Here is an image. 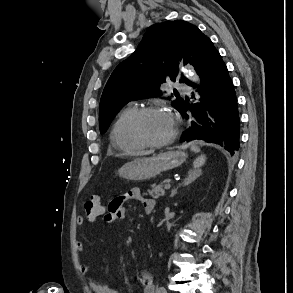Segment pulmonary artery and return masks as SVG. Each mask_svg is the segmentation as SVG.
I'll return each mask as SVG.
<instances>
[{"instance_id":"pulmonary-artery-1","label":"pulmonary artery","mask_w":293,"mask_h":293,"mask_svg":"<svg viewBox=\"0 0 293 293\" xmlns=\"http://www.w3.org/2000/svg\"><path fill=\"white\" fill-rule=\"evenodd\" d=\"M175 87L178 89V90H181V91H184V92H188L189 91V88L184 86V85H181V84H175Z\"/></svg>"}]
</instances>
